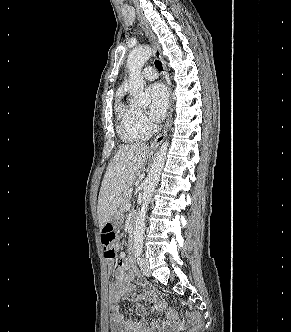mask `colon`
Masks as SVG:
<instances>
[{
    "mask_svg": "<svg viewBox=\"0 0 291 332\" xmlns=\"http://www.w3.org/2000/svg\"><path fill=\"white\" fill-rule=\"evenodd\" d=\"M104 256L107 259H114L118 247L117 235L111 225H106L101 232ZM189 329L187 332H199L202 327L201 318L198 313H189Z\"/></svg>",
    "mask_w": 291,
    "mask_h": 332,
    "instance_id": "5ec220e1",
    "label": "colon"
}]
</instances>
